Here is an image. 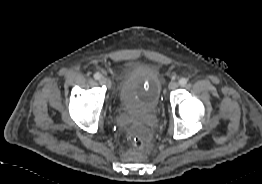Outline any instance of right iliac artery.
<instances>
[{"label":"right iliac artery","instance_id":"82829eb1","mask_svg":"<svg viewBox=\"0 0 262 184\" xmlns=\"http://www.w3.org/2000/svg\"><path fill=\"white\" fill-rule=\"evenodd\" d=\"M94 78H95L96 80H99V79L101 78V75H100L99 73H95V74H94Z\"/></svg>","mask_w":262,"mask_h":184}]
</instances>
